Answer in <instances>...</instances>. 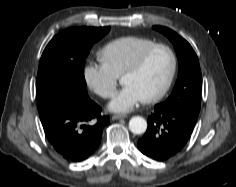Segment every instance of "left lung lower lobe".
Instances as JSON below:
<instances>
[{
    "instance_id": "1",
    "label": "left lung lower lobe",
    "mask_w": 236,
    "mask_h": 187,
    "mask_svg": "<svg viewBox=\"0 0 236 187\" xmlns=\"http://www.w3.org/2000/svg\"><path fill=\"white\" fill-rule=\"evenodd\" d=\"M197 118L198 114L186 109L156 105L154 112L148 117L146 133L138 140V148L154 160H167L187 143Z\"/></svg>"
}]
</instances>
